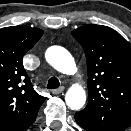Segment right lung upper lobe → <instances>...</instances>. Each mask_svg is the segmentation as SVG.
<instances>
[{
    "label": "right lung upper lobe",
    "instance_id": "obj_1",
    "mask_svg": "<svg viewBox=\"0 0 131 131\" xmlns=\"http://www.w3.org/2000/svg\"><path fill=\"white\" fill-rule=\"evenodd\" d=\"M39 28L18 25L0 29V129L16 127L37 115L46 97L27 75L22 57L41 38Z\"/></svg>",
    "mask_w": 131,
    "mask_h": 131
}]
</instances>
